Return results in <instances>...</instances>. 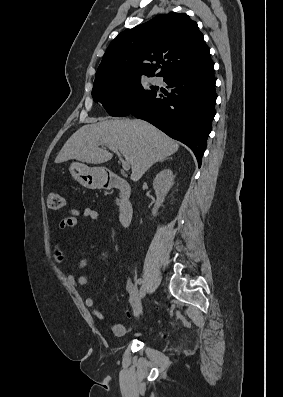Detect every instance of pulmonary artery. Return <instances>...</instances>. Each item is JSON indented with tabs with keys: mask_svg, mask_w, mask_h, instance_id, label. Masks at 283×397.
I'll return each mask as SVG.
<instances>
[{
	"mask_svg": "<svg viewBox=\"0 0 283 397\" xmlns=\"http://www.w3.org/2000/svg\"><path fill=\"white\" fill-rule=\"evenodd\" d=\"M153 82H154L155 84H159V83H160V79H159V78H154V79H153Z\"/></svg>",
	"mask_w": 283,
	"mask_h": 397,
	"instance_id": "pulmonary-artery-1",
	"label": "pulmonary artery"
}]
</instances>
